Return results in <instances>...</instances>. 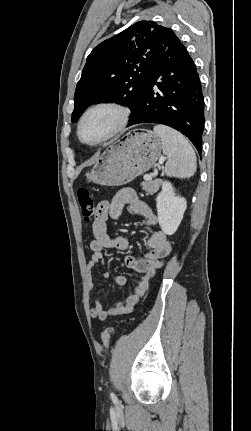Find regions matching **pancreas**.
I'll return each instance as SVG.
<instances>
[{"instance_id": "cf45deb5", "label": "pancreas", "mask_w": 251, "mask_h": 431, "mask_svg": "<svg viewBox=\"0 0 251 431\" xmlns=\"http://www.w3.org/2000/svg\"><path fill=\"white\" fill-rule=\"evenodd\" d=\"M160 184V180H150L142 182L141 186L144 191L150 195H153L159 190Z\"/></svg>"}]
</instances>
